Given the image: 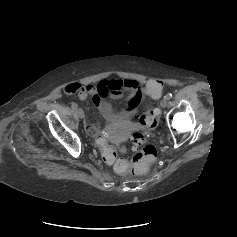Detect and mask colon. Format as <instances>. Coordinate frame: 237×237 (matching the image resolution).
<instances>
[{"label":"colon","mask_w":237,"mask_h":237,"mask_svg":"<svg viewBox=\"0 0 237 237\" xmlns=\"http://www.w3.org/2000/svg\"><path fill=\"white\" fill-rule=\"evenodd\" d=\"M164 83L161 80H150L145 89L152 98H159ZM159 116L158 109H150L137 118L138 124L143 128H153L157 125ZM100 147L103 159L110 164H114L115 170L122 175L142 174L155 162L157 158V149L154 145L146 143L143 132L136 131L132 135V147L135 154L131 162L118 156L122 148L108 144L104 140L100 141Z\"/></svg>","instance_id":"5ec220e1"}]
</instances>
